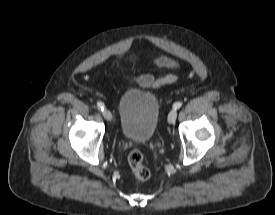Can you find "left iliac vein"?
<instances>
[{"instance_id":"left-iliac-vein-1","label":"left iliac vein","mask_w":275,"mask_h":215,"mask_svg":"<svg viewBox=\"0 0 275 215\" xmlns=\"http://www.w3.org/2000/svg\"><path fill=\"white\" fill-rule=\"evenodd\" d=\"M176 117H177V111L176 109H172L168 114V123L169 124L174 123L176 120Z\"/></svg>"}]
</instances>
